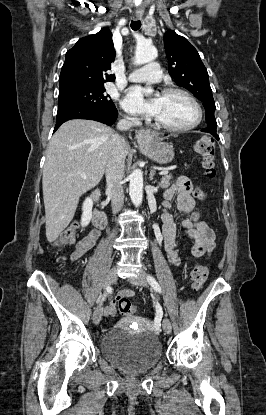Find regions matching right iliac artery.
Segmentation results:
<instances>
[{
    "instance_id": "82829eb1",
    "label": "right iliac artery",
    "mask_w": 266,
    "mask_h": 415,
    "mask_svg": "<svg viewBox=\"0 0 266 415\" xmlns=\"http://www.w3.org/2000/svg\"><path fill=\"white\" fill-rule=\"evenodd\" d=\"M111 291V287H107L106 288V293H104V295H103V297H102V300L101 301H104L105 300V298H106V296H107V293L108 292H110Z\"/></svg>"
}]
</instances>
